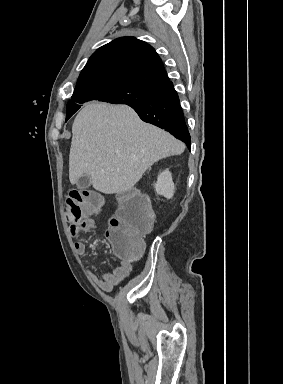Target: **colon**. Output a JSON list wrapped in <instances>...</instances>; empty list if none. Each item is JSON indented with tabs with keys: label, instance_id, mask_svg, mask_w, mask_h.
<instances>
[{
	"label": "colon",
	"instance_id": "1",
	"mask_svg": "<svg viewBox=\"0 0 283 384\" xmlns=\"http://www.w3.org/2000/svg\"><path fill=\"white\" fill-rule=\"evenodd\" d=\"M65 206L67 221L76 226L87 215L101 211L104 198L94 191L73 189L65 198ZM153 221L149 204L139 191L123 192L118 197V206L107 233L114 254L123 261L139 258L144 250V236L151 230Z\"/></svg>",
	"mask_w": 283,
	"mask_h": 384
}]
</instances>
